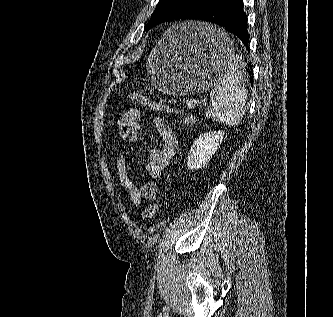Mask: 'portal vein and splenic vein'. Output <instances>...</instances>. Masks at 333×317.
<instances>
[{
	"mask_svg": "<svg viewBox=\"0 0 333 317\" xmlns=\"http://www.w3.org/2000/svg\"><path fill=\"white\" fill-rule=\"evenodd\" d=\"M187 106H188L189 109H193V108H194V105H193V103H191V102H188V103H187Z\"/></svg>",
	"mask_w": 333,
	"mask_h": 317,
	"instance_id": "obj_1",
	"label": "portal vein and splenic vein"
}]
</instances>
